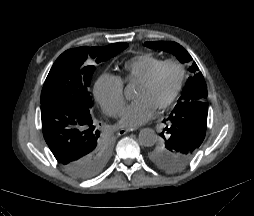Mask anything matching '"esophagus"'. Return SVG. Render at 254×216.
<instances>
[{"label":"esophagus","instance_id":"1","mask_svg":"<svg viewBox=\"0 0 254 216\" xmlns=\"http://www.w3.org/2000/svg\"><path fill=\"white\" fill-rule=\"evenodd\" d=\"M134 130L135 129H120L118 130L117 134L121 136V135H125L126 133L132 132Z\"/></svg>","mask_w":254,"mask_h":216}]
</instances>
